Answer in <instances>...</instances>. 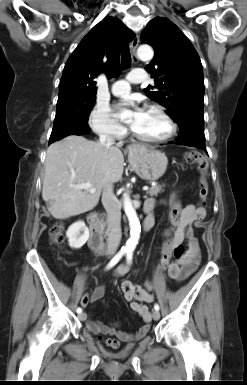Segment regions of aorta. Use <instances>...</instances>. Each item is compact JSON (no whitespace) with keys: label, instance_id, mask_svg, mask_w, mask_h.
<instances>
[{"label":"aorta","instance_id":"762f6f07","mask_svg":"<svg viewBox=\"0 0 247 385\" xmlns=\"http://www.w3.org/2000/svg\"><path fill=\"white\" fill-rule=\"evenodd\" d=\"M137 55L141 60L147 61L152 59L154 52L149 45H141L137 50ZM124 211L129 221L130 237L124 246V249L133 252L140 238L141 225L137 217L136 211L132 206L129 195H124Z\"/></svg>","mask_w":247,"mask_h":385}]
</instances>
